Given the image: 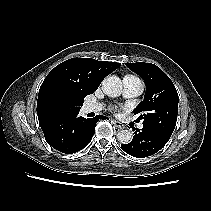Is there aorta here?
I'll return each instance as SVG.
<instances>
[{
    "label": "aorta",
    "mask_w": 211,
    "mask_h": 211,
    "mask_svg": "<svg viewBox=\"0 0 211 211\" xmlns=\"http://www.w3.org/2000/svg\"><path fill=\"white\" fill-rule=\"evenodd\" d=\"M103 92L110 97H118L122 93V82L119 77L112 75L106 77L102 82ZM132 132L129 129L121 130L117 134V139L122 144H128L132 140Z\"/></svg>",
    "instance_id": "aorta-1"
}]
</instances>
